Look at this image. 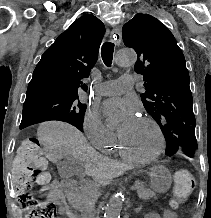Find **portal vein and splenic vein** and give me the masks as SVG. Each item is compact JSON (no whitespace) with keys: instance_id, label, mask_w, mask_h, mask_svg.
I'll return each mask as SVG.
<instances>
[{"instance_id":"1","label":"portal vein and splenic vein","mask_w":211,"mask_h":218,"mask_svg":"<svg viewBox=\"0 0 211 218\" xmlns=\"http://www.w3.org/2000/svg\"><path fill=\"white\" fill-rule=\"evenodd\" d=\"M130 188H131L130 190L132 191L134 189V186H131Z\"/></svg>"}]
</instances>
